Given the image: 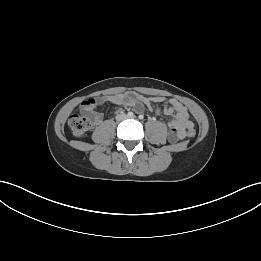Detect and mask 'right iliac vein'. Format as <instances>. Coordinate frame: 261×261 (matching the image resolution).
Instances as JSON below:
<instances>
[{"instance_id": "1", "label": "right iliac vein", "mask_w": 261, "mask_h": 261, "mask_svg": "<svg viewBox=\"0 0 261 261\" xmlns=\"http://www.w3.org/2000/svg\"><path fill=\"white\" fill-rule=\"evenodd\" d=\"M120 118H121V119H123V118H124V116L122 115V116H120Z\"/></svg>"}]
</instances>
